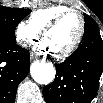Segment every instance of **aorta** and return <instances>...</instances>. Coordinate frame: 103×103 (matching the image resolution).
<instances>
[{
	"label": "aorta",
	"mask_w": 103,
	"mask_h": 103,
	"mask_svg": "<svg viewBox=\"0 0 103 103\" xmlns=\"http://www.w3.org/2000/svg\"><path fill=\"white\" fill-rule=\"evenodd\" d=\"M32 78L39 84L47 85L55 78V68L51 63L36 61L30 67Z\"/></svg>",
	"instance_id": "aorta-1"
}]
</instances>
